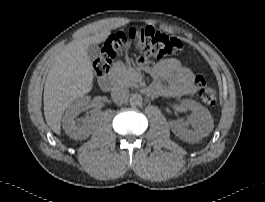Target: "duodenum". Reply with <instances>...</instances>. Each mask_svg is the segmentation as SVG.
<instances>
[{
  "label": "duodenum",
  "instance_id": "duodenum-1",
  "mask_svg": "<svg viewBox=\"0 0 265 202\" xmlns=\"http://www.w3.org/2000/svg\"><path fill=\"white\" fill-rule=\"evenodd\" d=\"M98 85L102 90L110 91V90L114 89V87H115V77L112 74H108L106 76H103L99 80ZM141 91L144 94H150L152 92V88L151 87H143L141 89Z\"/></svg>",
  "mask_w": 265,
  "mask_h": 202
}]
</instances>
